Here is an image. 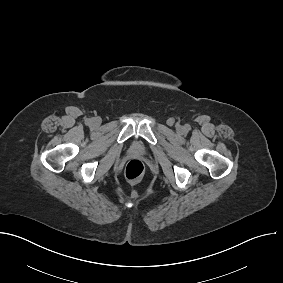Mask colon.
<instances>
[{
    "label": "colon",
    "instance_id": "colon-1",
    "mask_svg": "<svg viewBox=\"0 0 283 283\" xmlns=\"http://www.w3.org/2000/svg\"><path fill=\"white\" fill-rule=\"evenodd\" d=\"M145 174L144 164L137 159L127 163L124 171L126 179L132 183H138L142 180Z\"/></svg>",
    "mask_w": 283,
    "mask_h": 283
}]
</instances>
